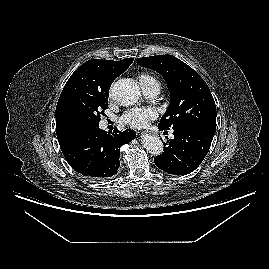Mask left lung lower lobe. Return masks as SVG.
<instances>
[{
	"mask_svg": "<svg viewBox=\"0 0 269 269\" xmlns=\"http://www.w3.org/2000/svg\"><path fill=\"white\" fill-rule=\"evenodd\" d=\"M215 131L210 126L174 130V139L167 140L164 152L154 158L156 166L174 175L191 173L207 155Z\"/></svg>",
	"mask_w": 269,
	"mask_h": 269,
	"instance_id": "0a47b994",
	"label": "left lung lower lobe"
}]
</instances>
